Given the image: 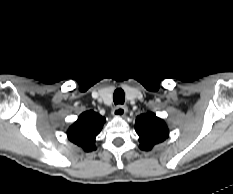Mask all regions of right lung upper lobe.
<instances>
[{
	"label": "right lung upper lobe",
	"mask_w": 233,
	"mask_h": 194,
	"mask_svg": "<svg viewBox=\"0 0 233 194\" xmlns=\"http://www.w3.org/2000/svg\"><path fill=\"white\" fill-rule=\"evenodd\" d=\"M105 118L93 111L82 113L68 129V138L86 152L96 149L94 142L101 131Z\"/></svg>",
	"instance_id": "cb5924a9"
}]
</instances>
